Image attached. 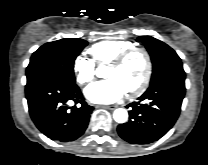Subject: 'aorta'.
<instances>
[{
  "label": "aorta",
  "mask_w": 208,
  "mask_h": 165,
  "mask_svg": "<svg viewBox=\"0 0 208 165\" xmlns=\"http://www.w3.org/2000/svg\"><path fill=\"white\" fill-rule=\"evenodd\" d=\"M104 69H105V66L100 65L96 69V75L101 77ZM113 118L117 123H125L128 120V112L124 108H118L114 111Z\"/></svg>",
  "instance_id": "aorta-1"
}]
</instances>
